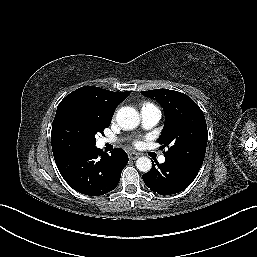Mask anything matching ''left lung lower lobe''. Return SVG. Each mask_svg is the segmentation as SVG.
Instances as JSON below:
<instances>
[{
  "label": "left lung lower lobe",
  "mask_w": 257,
  "mask_h": 257,
  "mask_svg": "<svg viewBox=\"0 0 257 257\" xmlns=\"http://www.w3.org/2000/svg\"><path fill=\"white\" fill-rule=\"evenodd\" d=\"M156 165L153 164L142 177L146 186L160 195H171L186 189L202 166L187 158L171 156H165V162Z\"/></svg>",
  "instance_id": "left-lung-lower-lobe-1"
}]
</instances>
